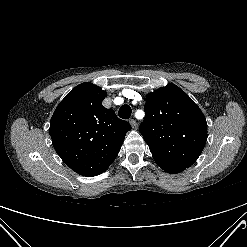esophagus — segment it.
Returning a JSON list of instances; mask_svg holds the SVG:
<instances>
[{
	"label": "esophagus",
	"instance_id": "34e87169",
	"mask_svg": "<svg viewBox=\"0 0 247 247\" xmlns=\"http://www.w3.org/2000/svg\"><path fill=\"white\" fill-rule=\"evenodd\" d=\"M130 124H131V126H132V128H136V126H137V123H136V120H134V119H130Z\"/></svg>",
	"mask_w": 247,
	"mask_h": 247
}]
</instances>
